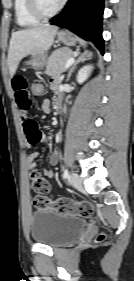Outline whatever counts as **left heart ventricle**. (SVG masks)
Wrapping results in <instances>:
<instances>
[{"label":"left heart ventricle","mask_w":134,"mask_h":281,"mask_svg":"<svg viewBox=\"0 0 134 281\" xmlns=\"http://www.w3.org/2000/svg\"><path fill=\"white\" fill-rule=\"evenodd\" d=\"M61 0H40L42 7L47 10L51 11L57 7Z\"/></svg>","instance_id":"b2bd125f"}]
</instances>
